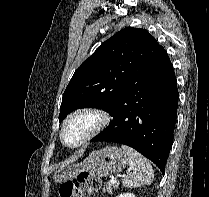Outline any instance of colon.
<instances>
[{"mask_svg": "<svg viewBox=\"0 0 209 197\" xmlns=\"http://www.w3.org/2000/svg\"><path fill=\"white\" fill-rule=\"evenodd\" d=\"M100 187V180L89 172L82 171L76 180L67 181L59 186L60 197H89Z\"/></svg>", "mask_w": 209, "mask_h": 197, "instance_id": "obj_1", "label": "colon"}]
</instances>
